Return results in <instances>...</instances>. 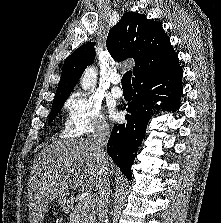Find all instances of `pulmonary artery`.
I'll return each instance as SVG.
<instances>
[{
    "label": "pulmonary artery",
    "instance_id": "1",
    "mask_svg": "<svg viewBox=\"0 0 221 223\" xmlns=\"http://www.w3.org/2000/svg\"><path fill=\"white\" fill-rule=\"evenodd\" d=\"M121 82V76L115 75L112 79L113 87L111 89L112 94L116 98H120L123 95V90L118 86V84Z\"/></svg>",
    "mask_w": 221,
    "mask_h": 223
}]
</instances>
